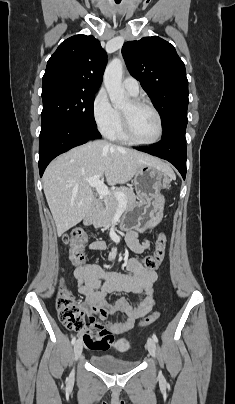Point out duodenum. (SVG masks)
<instances>
[{"label": "duodenum", "mask_w": 235, "mask_h": 404, "mask_svg": "<svg viewBox=\"0 0 235 404\" xmlns=\"http://www.w3.org/2000/svg\"><path fill=\"white\" fill-rule=\"evenodd\" d=\"M102 203H103L102 199H97L95 201V206L99 207V206L102 205ZM85 220H86L87 223L92 222L93 221V215H88Z\"/></svg>", "instance_id": "410a0bca"}]
</instances>
